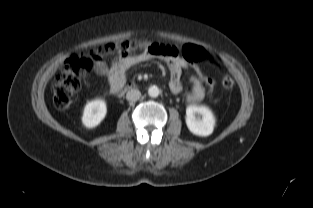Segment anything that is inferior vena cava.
Here are the masks:
<instances>
[{"instance_id":"obj_1","label":"inferior vena cava","mask_w":313,"mask_h":208,"mask_svg":"<svg viewBox=\"0 0 313 208\" xmlns=\"http://www.w3.org/2000/svg\"><path fill=\"white\" fill-rule=\"evenodd\" d=\"M141 97V92L138 89H131L126 94V99L128 101H137Z\"/></svg>"}]
</instances>
